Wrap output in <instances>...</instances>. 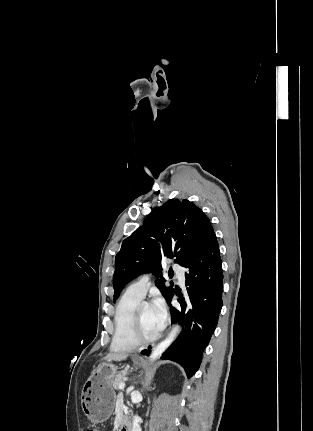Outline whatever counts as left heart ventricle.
Returning <instances> with one entry per match:
<instances>
[{"label": "left heart ventricle", "instance_id": "1", "mask_svg": "<svg viewBox=\"0 0 313 431\" xmlns=\"http://www.w3.org/2000/svg\"><path fill=\"white\" fill-rule=\"evenodd\" d=\"M142 333L145 336H152L158 332L154 316L149 305H144L141 310Z\"/></svg>", "mask_w": 313, "mask_h": 431}]
</instances>
